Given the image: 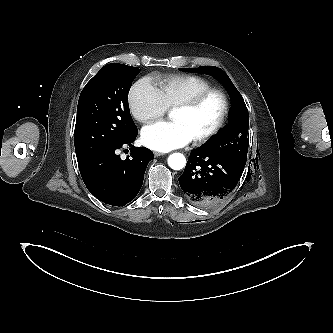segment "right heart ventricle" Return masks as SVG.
Segmentation results:
<instances>
[{"label": "right heart ventricle", "instance_id": "1", "mask_svg": "<svg viewBox=\"0 0 333 333\" xmlns=\"http://www.w3.org/2000/svg\"><path fill=\"white\" fill-rule=\"evenodd\" d=\"M210 88V82L197 75H169L158 81V90L167 109Z\"/></svg>", "mask_w": 333, "mask_h": 333}]
</instances>
